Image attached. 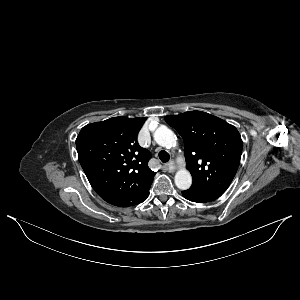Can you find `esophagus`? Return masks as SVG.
<instances>
[{
	"label": "esophagus",
	"instance_id": "1",
	"mask_svg": "<svg viewBox=\"0 0 300 300\" xmlns=\"http://www.w3.org/2000/svg\"><path fill=\"white\" fill-rule=\"evenodd\" d=\"M166 168L169 172H174L176 169L175 163L173 161L168 162Z\"/></svg>",
	"mask_w": 300,
	"mask_h": 300
}]
</instances>
